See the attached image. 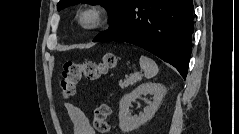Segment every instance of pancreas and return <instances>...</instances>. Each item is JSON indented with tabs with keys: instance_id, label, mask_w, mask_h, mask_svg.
Wrapping results in <instances>:
<instances>
[{
	"instance_id": "pancreas-1",
	"label": "pancreas",
	"mask_w": 239,
	"mask_h": 134,
	"mask_svg": "<svg viewBox=\"0 0 239 134\" xmlns=\"http://www.w3.org/2000/svg\"><path fill=\"white\" fill-rule=\"evenodd\" d=\"M142 79V75L139 73L131 74L128 78L124 80H120L119 86L124 89L129 86L134 85L136 82L140 81Z\"/></svg>"
}]
</instances>
